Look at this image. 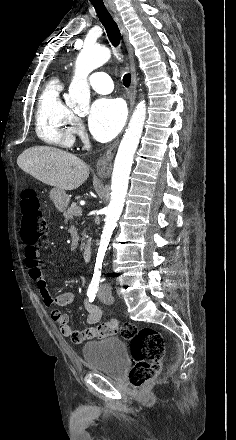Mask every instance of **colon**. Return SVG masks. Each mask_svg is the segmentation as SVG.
Returning a JSON list of instances; mask_svg holds the SVG:
<instances>
[{"label":"colon","instance_id":"1","mask_svg":"<svg viewBox=\"0 0 236 440\" xmlns=\"http://www.w3.org/2000/svg\"><path fill=\"white\" fill-rule=\"evenodd\" d=\"M48 231L41 209V202L33 190H25L21 199V236L26 244H35ZM130 340L135 364L129 372V383L137 388L154 379L161 369L164 342L161 334L153 328H138L125 323L117 330Z\"/></svg>","mask_w":236,"mask_h":440}]
</instances>
